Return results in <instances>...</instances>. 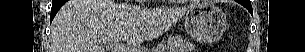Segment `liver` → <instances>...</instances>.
<instances>
[{"label":"liver","mask_w":305,"mask_h":52,"mask_svg":"<svg viewBox=\"0 0 305 52\" xmlns=\"http://www.w3.org/2000/svg\"><path fill=\"white\" fill-rule=\"evenodd\" d=\"M193 5L145 9L113 0H69L51 26V52H106L104 41L141 44L168 31Z\"/></svg>","instance_id":"6515ba94"}]
</instances>
